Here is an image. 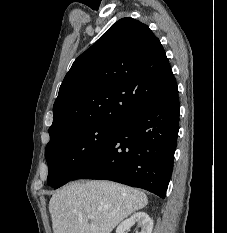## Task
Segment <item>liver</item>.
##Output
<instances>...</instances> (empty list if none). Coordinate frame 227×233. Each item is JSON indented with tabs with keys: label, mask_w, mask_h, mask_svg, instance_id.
<instances>
[{
	"label": "liver",
	"mask_w": 227,
	"mask_h": 233,
	"mask_svg": "<svg viewBox=\"0 0 227 233\" xmlns=\"http://www.w3.org/2000/svg\"><path fill=\"white\" fill-rule=\"evenodd\" d=\"M147 203L144 192L128 186L110 181L74 182L49 201L53 233H111Z\"/></svg>",
	"instance_id": "obj_1"
}]
</instances>
